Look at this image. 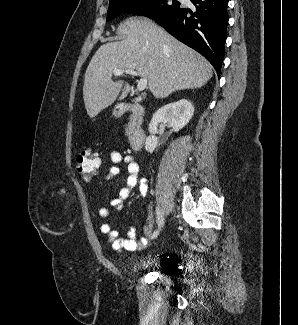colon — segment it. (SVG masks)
Wrapping results in <instances>:
<instances>
[{
    "instance_id": "obj_1",
    "label": "colon",
    "mask_w": 298,
    "mask_h": 325,
    "mask_svg": "<svg viewBox=\"0 0 298 325\" xmlns=\"http://www.w3.org/2000/svg\"><path fill=\"white\" fill-rule=\"evenodd\" d=\"M98 166V155L88 149L82 150L76 157V172L86 182L93 180L96 175Z\"/></svg>"
}]
</instances>
